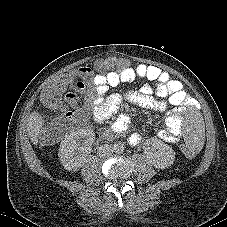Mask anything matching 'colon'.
I'll list each match as a JSON object with an SVG mask.
<instances>
[{
  "label": "colon",
  "instance_id": "obj_1",
  "mask_svg": "<svg viewBox=\"0 0 227 227\" xmlns=\"http://www.w3.org/2000/svg\"><path fill=\"white\" fill-rule=\"evenodd\" d=\"M125 66L126 63L121 58H112L109 61L105 59H99L94 64L95 69L99 72H105L108 69L112 71H121L125 68ZM70 82L71 78L69 76H60L46 84L40 92L39 97L41 103L49 109L66 111L67 106L64 101L63 93L69 87ZM69 128L70 123L67 119H56L45 130L42 142L44 144H50L60 140ZM180 153L188 162L193 161L195 158L194 153L191 152L186 145L181 147Z\"/></svg>",
  "mask_w": 227,
  "mask_h": 227
}]
</instances>
